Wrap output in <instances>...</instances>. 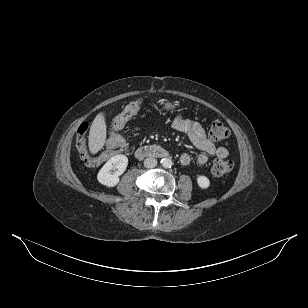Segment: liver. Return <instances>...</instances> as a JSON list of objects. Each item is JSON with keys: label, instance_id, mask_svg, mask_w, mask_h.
I'll return each instance as SVG.
<instances>
[{"label": "liver", "instance_id": "1", "mask_svg": "<svg viewBox=\"0 0 308 308\" xmlns=\"http://www.w3.org/2000/svg\"><path fill=\"white\" fill-rule=\"evenodd\" d=\"M106 122L103 112L96 115L92 122L88 137V146L92 154L101 150L106 141Z\"/></svg>", "mask_w": 308, "mask_h": 308}]
</instances>
